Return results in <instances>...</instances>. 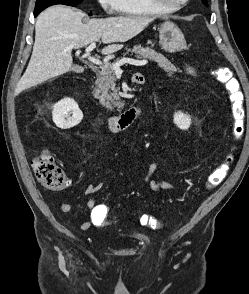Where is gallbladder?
I'll return each instance as SVG.
<instances>
[{
	"label": "gallbladder",
	"mask_w": 249,
	"mask_h": 294,
	"mask_svg": "<svg viewBox=\"0 0 249 294\" xmlns=\"http://www.w3.org/2000/svg\"><path fill=\"white\" fill-rule=\"evenodd\" d=\"M72 70L77 73L82 72V68L79 66H74Z\"/></svg>",
	"instance_id": "obj_1"
}]
</instances>
